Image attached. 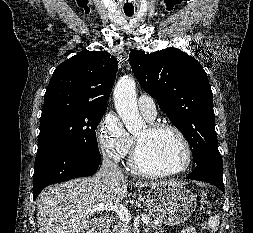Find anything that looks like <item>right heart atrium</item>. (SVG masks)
<instances>
[{"label":"right heart atrium","mask_w":253,"mask_h":233,"mask_svg":"<svg viewBox=\"0 0 253 233\" xmlns=\"http://www.w3.org/2000/svg\"><path fill=\"white\" fill-rule=\"evenodd\" d=\"M97 138L101 153L115 162L121 161L133 146L132 137L113 112L106 113L101 119Z\"/></svg>","instance_id":"d8ad5b80"}]
</instances>
